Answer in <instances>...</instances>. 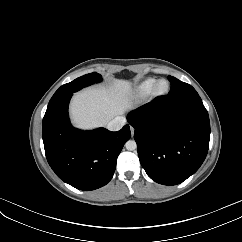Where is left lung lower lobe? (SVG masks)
I'll list each match as a JSON object with an SVG mask.
<instances>
[{"label": "left lung lower lobe", "instance_id": "1", "mask_svg": "<svg viewBox=\"0 0 242 242\" xmlns=\"http://www.w3.org/2000/svg\"><path fill=\"white\" fill-rule=\"evenodd\" d=\"M147 175L177 185L194 174L208 152L210 122L198 94L158 97L127 115Z\"/></svg>", "mask_w": 242, "mask_h": 242}]
</instances>
